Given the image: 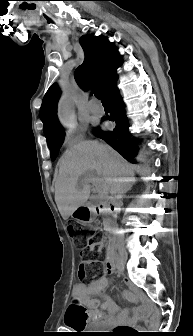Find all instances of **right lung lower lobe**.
I'll return each mask as SVG.
<instances>
[{
    "instance_id": "98d812e1",
    "label": "right lung lower lobe",
    "mask_w": 193,
    "mask_h": 336,
    "mask_svg": "<svg viewBox=\"0 0 193 336\" xmlns=\"http://www.w3.org/2000/svg\"><path fill=\"white\" fill-rule=\"evenodd\" d=\"M104 96L108 103L113 106L111 115L107 117V119L114 121L116 127L111 131H102L98 129L96 130L95 135L111 145L126 160L131 163H136L135 158L138 154L137 141L129 133L125 106L116 85V78L109 85Z\"/></svg>"
}]
</instances>
